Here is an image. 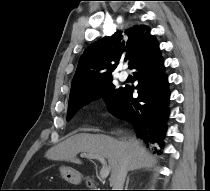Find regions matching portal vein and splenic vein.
<instances>
[{
    "label": "portal vein and splenic vein",
    "instance_id": "portal-vein-and-splenic-vein-1",
    "mask_svg": "<svg viewBox=\"0 0 210 191\" xmlns=\"http://www.w3.org/2000/svg\"><path fill=\"white\" fill-rule=\"evenodd\" d=\"M81 157L97 159L100 162H102L103 166H102V169L100 170V178L103 180L108 177L110 173V166H107L105 158L103 156L84 153V154H81Z\"/></svg>",
    "mask_w": 210,
    "mask_h": 191
}]
</instances>
